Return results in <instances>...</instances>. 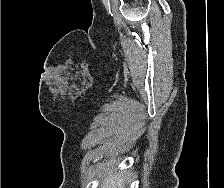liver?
Instances as JSON below:
<instances>
[{"label":"liver","mask_w":224,"mask_h":188,"mask_svg":"<svg viewBox=\"0 0 224 188\" xmlns=\"http://www.w3.org/2000/svg\"><path fill=\"white\" fill-rule=\"evenodd\" d=\"M124 181L122 174L112 173L110 169L100 188H124Z\"/></svg>","instance_id":"6515ba94"}]
</instances>
